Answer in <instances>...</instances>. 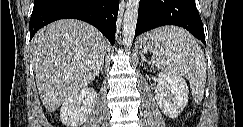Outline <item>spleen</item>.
I'll return each instance as SVG.
<instances>
[{
  "label": "spleen",
  "instance_id": "obj_1",
  "mask_svg": "<svg viewBox=\"0 0 243 127\" xmlns=\"http://www.w3.org/2000/svg\"><path fill=\"white\" fill-rule=\"evenodd\" d=\"M155 39L161 43V49L153 55V63L167 74L187 78L194 100L200 102L204 96L207 64L194 37L181 28L164 27L158 29Z\"/></svg>",
  "mask_w": 243,
  "mask_h": 127
}]
</instances>
